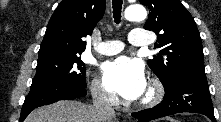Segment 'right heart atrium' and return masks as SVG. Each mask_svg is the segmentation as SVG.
Returning a JSON list of instances; mask_svg holds the SVG:
<instances>
[{
  "label": "right heart atrium",
  "instance_id": "obj_1",
  "mask_svg": "<svg viewBox=\"0 0 221 122\" xmlns=\"http://www.w3.org/2000/svg\"><path fill=\"white\" fill-rule=\"evenodd\" d=\"M90 88L93 97L99 102L111 106H114L118 103L117 97L104 87L103 83L99 78H94L92 80Z\"/></svg>",
  "mask_w": 221,
  "mask_h": 122
}]
</instances>
